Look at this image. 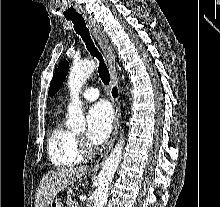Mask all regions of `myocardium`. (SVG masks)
<instances>
[{"label":"myocardium","instance_id":"myocardium-1","mask_svg":"<svg viewBox=\"0 0 220 207\" xmlns=\"http://www.w3.org/2000/svg\"><path fill=\"white\" fill-rule=\"evenodd\" d=\"M77 149L82 157L91 156L94 150L81 137H76Z\"/></svg>","mask_w":220,"mask_h":207}]
</instances>
